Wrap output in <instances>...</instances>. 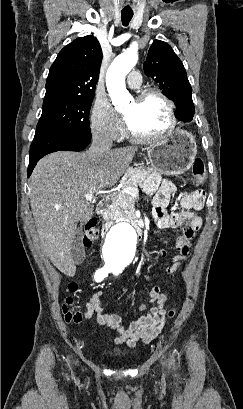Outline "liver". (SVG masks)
I'll list each match as a JSON object with an SVG mask.
<instances>
[{"label": "liver", "mask_w": 243, "mask_h": 409, "mask_svg": "<svg viewBox=\"0 0 243 409\" xmlns=\"http://www.w3.org/2000/svg\"><path fill=\"white\" fill-rule=\"evenodd\" d=\"M137 150L122 147L97 158L58 151L37 163L29 180L31 210L42 249L60 272L69 277L76 272L71 245L78 222L89 221L94 209L85 195L112 187Z\"/></svg>", "instance_id": "6515ba94"}]
</instances>
